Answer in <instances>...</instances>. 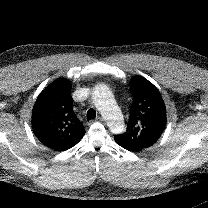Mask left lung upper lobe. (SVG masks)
Returning <instances> with one entry per match:
<instances>
[{
    "mask_svg": "<svg viewBox=\"0 0 208 208\" xmlns=\"http://www.w3.org/2000/svg\"><path fill=\"white\" fill-rule=\"evenodd\" d=\"M133 103L125 133L115 137L145 149L161 136L166 125V107L158 89L147 79L134 76L130 81Z\"/></svg>",
    "mask_w": 208,
    "mask_h": 208,
    "instance_id": "1",
    "label": "left lung upper lobe"
}]
</instances>
